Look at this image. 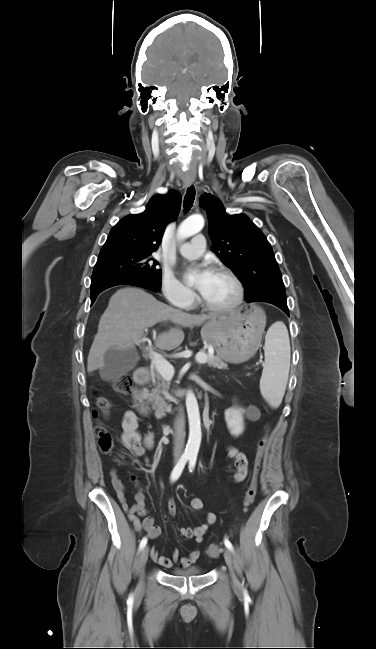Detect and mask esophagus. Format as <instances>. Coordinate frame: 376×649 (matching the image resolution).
Returning <instances> with one entry per match:
<instances>
[{
  "label": "esophagus",
  "mask_w": 376,
  "mask_h": 649,
  "mask_svg": "<svg viewBox=\"0 0 376 649\" xmlns=\"http://www.w3.org/2000/svg\"><path fill=\"white\" fill-rule=\"evenodd\" d=\"M191 185H192V182H191V181H186V182H184V187H186V188H187V187H190Z\"/></svg>",
  "instance_id": "1"
}]
</instances>
